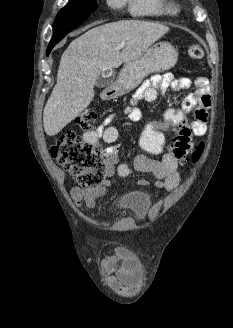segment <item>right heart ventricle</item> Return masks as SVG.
I'll return each mask as SVG.
<instances>
[{
	"mask_svg": "<svg viewBox=\"0 0 233 328\" xmlns=\"http://www.w3.org/2000/svg\"><path fill=\"white\" fill-rule=\"evenodd\" d=\"M129 4L132 14L137 16H157L173 14L176 11L174 4L167 0H125Z\"/></svg>",
	"mask_w": 233,
	"mask_h": 328,
	"instance_id": "e07e8e85",
	"label": "right heart ventricle"
}]
</instances>
